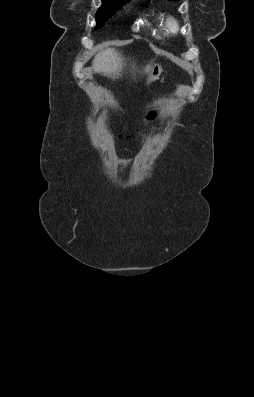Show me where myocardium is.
I'll return each instance as SVG.
<instances>
[{
  "instance_id": "obj_1",
  "label": "myocardium",
  "mask_w": 254,
  "mask_h": 397,
  "mask_svg": "<svg viewBox=\"0 0 254 397\" xmlns=\"http://www.w3.org/2000/svg\"><path fill=\"white\" fill-rule=\"evenodd\" d=\"M165 24H166L167 29L172 33L177 32L180 27L179 21L173 16H168L166 18Z\"/></svg>"
}]
</instances>
